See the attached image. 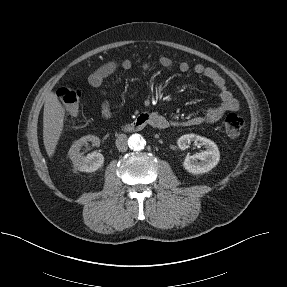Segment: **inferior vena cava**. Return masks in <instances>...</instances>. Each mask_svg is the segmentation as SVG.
<instances>
[{"instance_id":"1","label":"inferior vena cava","mask_w":287,"mask_h":287,"mask_svg":"<svg viewBox=\"0 0 287 287\" xmlns=\"http://www.w3.org/2000/svg\"><path fill=\"white\" fill-rule=\"evenodd\" d=\"M116 146L119 151L125 152L128 149L127 136L125 134H120L116 139Z\"/></svg>"}]
</instances>
